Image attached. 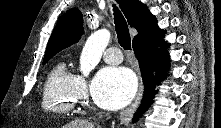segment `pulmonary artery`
Returning <instances> with one entry per match:
<instances>
[{"mask_svg": "<svg viewBox=\"0 0 221 128\" xmlns=\"http://www.w3.org/2000/svg\"><path fill=\"white\" fill-rule=\"evenodd\" d=\"M103 59L108 64L116 65L122 62V53L116 46L109 47L105 51Z\"/></svg>", "mask_w": 221, "mask_h": 128, "instance_id": "1", "label": "pulmonary artery"}]
</instances>
